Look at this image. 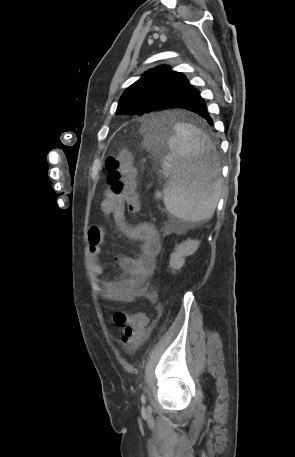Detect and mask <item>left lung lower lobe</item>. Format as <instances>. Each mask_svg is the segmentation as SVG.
Returning <instances> with one entry per match:
<instances>
[{
    "instance_id": "0a47b994",
    "label": "left lung lower lobe",
    "mask_w": 295,
    "mask_h": 457,
    "mask_svg": "<svg viewBox=\"0 0 295 457\" xmlns=\"http://www.w3.org/2000/svg\"><path fill=\"white\" fill-rule=\"evenodd\" d=\"M164 108L187 109L203 117L210 125L213 124V120L207 111L204 99L200 96L199 91L191 85L190 87H186L178 93L161 100L155 106L154 111ZM152 127L154 130H158L161 126H159L158 123H155Z\"/></svg>"
}]
</instances>
